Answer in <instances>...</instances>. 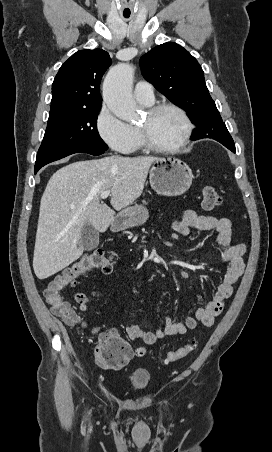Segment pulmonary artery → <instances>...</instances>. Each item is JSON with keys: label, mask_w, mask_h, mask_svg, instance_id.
<instances>
[{"label": "pulmonary artery", "mask_w": 272, "mask_h": 452, "mask_svg": "<svg viewBox=\"0 0 272 452\" xmlns=\"http://www.w3.org/2000/svg\"><path fill=\"white\" fill-rule=\"evenodd\" d=\"M134 96L142 104L151 105L154 102V91L150 83L140 81L135 85Z\"/></svg>", "instance_id": "e3ab8cb5"}]
</instances>
